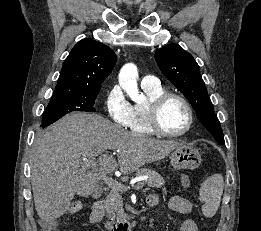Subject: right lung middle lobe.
I'll return each mask as SVG.
<instances>
[{"mask_svg": "<svg viewBox=\"0 0 261 231\" xmlns=\"http://www.w3.org/2000/svg\"><path fill=\"white\" fill-rule=\"evenodd\" d=\"M99 90H55L42 117L46 127L72 111L95 112L94 103Z\"/></svg>", "mask_w": 261, "mask_h": 231, "instance_id": "1", "label": "right lung middle lobe"}]
</instances>
